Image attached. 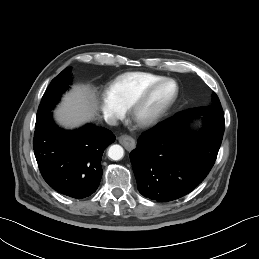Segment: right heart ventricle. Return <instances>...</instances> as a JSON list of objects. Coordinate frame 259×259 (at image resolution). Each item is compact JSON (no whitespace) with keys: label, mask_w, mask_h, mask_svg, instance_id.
<instances>
[{"label":"right heart ventricle","mask_w":259,"mask_h":259,"mask_svg":"<svg viewBox=\"0 0 259 259\" xmlns=\"http://www.w3.org/2000/svg\"><path fill=\"white\" fill-rule=\"evenodd\" d=\"M165 78L148 72H128L116 77L106 88V95L124 110L149 85Z\"/></svg>","instance_id":"right-heart-ventricle-1"}]
</instances>
